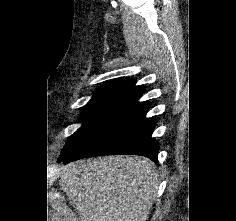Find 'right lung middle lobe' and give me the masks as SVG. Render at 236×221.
I'll return each mask as SVG.
<instances>
[{"label":"right lung middle lobe","mask_w":236,"mask_h":221,"mask_svg":"<svg viewBox=\"0 0 236 221\" xmlns=\"http://www.w3.org/2000/svg\"><path fill=\"white\" fill-rule=\"evenodd\" d=\"M136 95L130 93L97 94L84 107L81 115L82 127L65 144L60 159L69 155L90 137L105 121L132 101Z\"/></svg>","instance_id":"1"}]
</instances>
